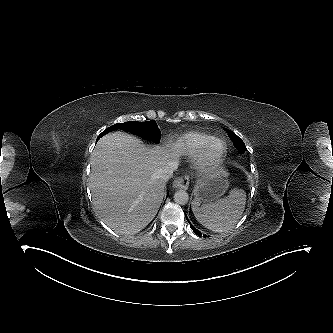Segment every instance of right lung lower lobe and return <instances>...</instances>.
<instances>
[{
    "instance_id": "98d812e1",
    "label": "right lung lower lobe",
    "mask_w": 333,
    "mask_h": 333,
    "mask_svg": "<svg viewBox=\"0 0 333 333\" xmlns=\"http://www.w3.org/2000/svg\"><path fill=\"white\" fill-rule=\"evenodd\" d=\"M106 133H108V132L103 131V132L98 136L96 142H97L102 136H104Z\"/></svg>"
}]
</instances>
